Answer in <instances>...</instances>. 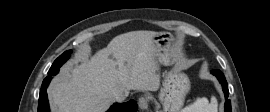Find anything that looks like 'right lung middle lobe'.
<instances>
[{
  "label": "right lung middle lobe",
  "instance_id": "right-lung-middle-lobe-1",
  "mask_svg": "<svg viewBox=\"0 0 270 112\" xmlns=\"http://www.w3.org/2000/svg\"><path fill=\"white\" fill-rule=\"evenodd\" d=\"M72 53V50H68L60 55L53 63L49 69L48 75H56L59 71V68L68 60Z\"/></svg>",
  "mask_w": 270,
  "mask_h": 112
}]
</instances>
